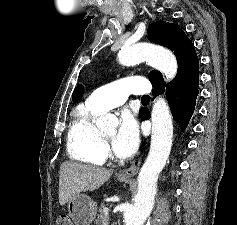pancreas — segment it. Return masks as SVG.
Wrapping results in <instances>:
<instances>
[{"instance_id":"1","label":"pancreas","mask_w":237,"mask_h":225,"mask_svg":"<svg viewBox=\"0 0 237 225\" xmlns=\"http://www.w3.org/2000/svg\"><path fill=\"white\" fill-rule=\"evenodd\" d=\"M104 221H108V218L104 216L103 207L100 208L97 219L95 220L96 225H102Z\"/></svg>"}]
</instances>
